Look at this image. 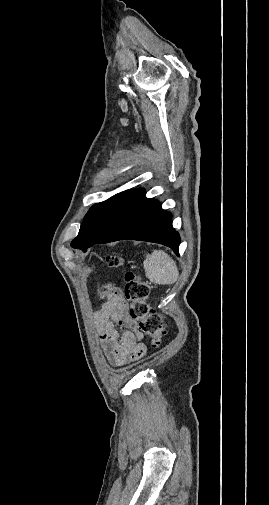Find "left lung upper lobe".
Returning <instances> with one entry per match:
<instances>
[{"label":"left lung upper lobe","instance_id":"5c2ea615","mask_svg":"<svg viewBox=\"0 0 269 505\" xmlns=\"http://www.w3.org/2000/svg\"><path fill=\"white\" fill-rule=\"evenodd\" d=\"M134 192L135 190L124 191L104 202L93 205L87 212L78 236L72 241L71 246L82 249L100 240L110 229Z\"/></svg>","mask_w":269,"mask_h":505}]
</instances>
